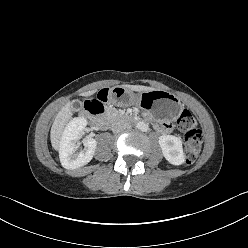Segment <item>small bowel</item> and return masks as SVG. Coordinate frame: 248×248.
Here are the masks:
<instances>
[{
    "instance_id": "1",
    "label": "small bowel",
    "mask_w": 248,
    "mask_h": 248,
    "mask_svg": "<svg viewBox=\"0 0 248 248\" xmlns=\"http://www.w3.org/2000/svg\"><path fill=\"white\" fill-rule=\"evenodd\" d=\"M156 128L159 132L163 134L170 133L172 130V126L169 122H160L156 125Z\"/></svg>"
}]
</instances>
